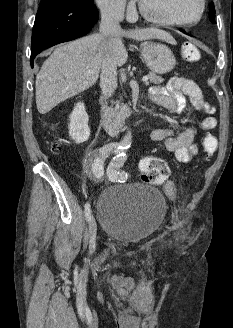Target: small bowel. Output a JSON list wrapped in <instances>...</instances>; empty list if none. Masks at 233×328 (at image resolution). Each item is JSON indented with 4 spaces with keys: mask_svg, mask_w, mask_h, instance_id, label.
I'll return each instance as SVG.
<instances>
[{
    "mask_svg": "<svg viewBox=\"0 0 233 328\" xmlns=\"http://www.w3.org/2000/svg\"><path fill=\"white\" fill-rule=\"evenodd\" d=\"M149 98L172 114L191 116L187 109V100H189L197 114H207L199 123L203 130L210 131L217 126V118L212 115L215 111L214 107L205 100L202 90L191 79L173 77L166 85L152 87ZM150 137L153 141L162 142L181 163L190 162L198 153L193 128H187L176 135L175 128L168 126L153 130ZM164 191L168 197L175 198L176 187L171 180L164 184ZM112 286L119 295L127 296L135 289L136 284L132 278L114 275Z\"/></svg>",
    "mask_w": 233,
    "mask_h": 328,
    "instance_id": "small-bowel-1",
    "label": "small bowel"
}]
</instances>
